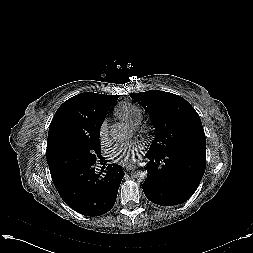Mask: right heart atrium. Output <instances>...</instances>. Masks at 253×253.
Listing matches in <instances>:
<instances>
[{"label": "right heart atrium", "mask_w": 253, "mask_h": 253, "mask_svg": "<svg viewBox=\"0 0 253 253\" xmlns=\"http://www.w3.org/2000/svg\"><path fill=\"white\" fill-rule=\"evenodd\" d=\"M109 135L107 120H103L99 127V138L102 142L106 141Z\"/></svg>", "instance_id": "d8ad5b80"}]
</instances>
